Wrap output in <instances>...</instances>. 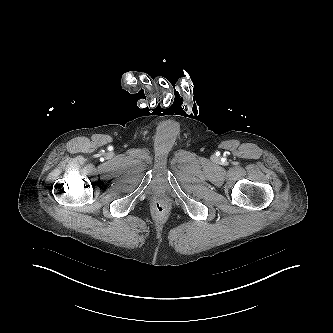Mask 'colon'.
Returning a JSON list of instances; mask_svg holds the SVG:
<instances>
[{
	"label": "colon",
	"instance_id": "colon-1",
	"mask_svg": "<svg viewBox=\"0 0 333 333\" xmlns=\"http://www.w3.org/2000/svg\"><path fill=\"white\" fill-rule=\"evenodd\" d=\"M155 208L157 210V212L159 213H162L164 210H165V204L161 201H158L156 204H155Z\"/></svg>",
	"mask_w": 333,
	"mask_h": 333
}]
</instances>
